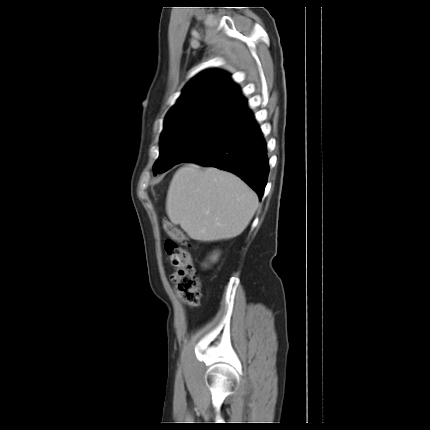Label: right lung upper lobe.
<instances>
[{
  "instance_id": "1",
  "label": "right lung upper lobe",
  "mask_w": 430,
  "mask_h": 430,
  "mask_svg": "<svg viewBox=\"0 0 430 430\" xmlns=\"http://www.w3.org/2000/svg\"><path fill=\"white\" fill-rule=\"evenodd\" d=\"M210 102H222L243 117L249 109L239 88L231 82L229 75L210 69L198 74L183 90L177 104L169 111L197 107ZM168 113V114H169Z\"/></svg>"
}]
</instances>
